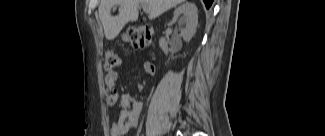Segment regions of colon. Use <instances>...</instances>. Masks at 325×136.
Listing matches in <instances>:
<instances>
[{
    "label": "colon",
    "mask_w": 325,
    "mask_h": 136,
    "mask_svg": "<svg viewBox=\"0 0 325 136\" xmlns=\"http://www.w3.org/2000/svg\"><path fill=\"white\" fill-rule=\"evenodd\" d=\"M153 28L150 25L130 27L123 39L133 48L147 47L152 43ZM122 64L120 55L113 49L104 52L103 69L107 73L114 72Z\"/></svg>",
    "instance_id": "obj_1"
}]
</instances>
